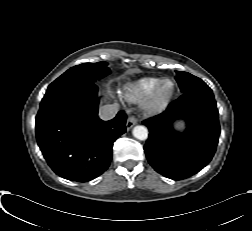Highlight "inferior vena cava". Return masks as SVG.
I'll list each match as a JSON object with an SVG mask.
<instances>
[{"mask_svg": "<svg viewBox=\"0 0 252 231\" xmlns=\"http://www.w3.org/2000/svg\"><path fill=\"white\" fill-rule=\"evenodd\" d=\"M119 111L118 103L106 104L99 109V117L102 120H110L116 116Z\"/></svg>", "mask_w": 252, "mask_h": 231, "instance_id": "obj_1", "label": "inferior vena cava"}]
</instances>
